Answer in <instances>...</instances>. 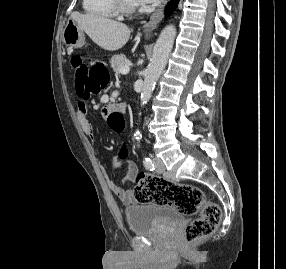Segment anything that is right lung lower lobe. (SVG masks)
Instances as JSON below:
<instances>
[{
  "label": "right lung lower lobe",
  "mask_w": 286,
  "mask_h": 269,
  "mask_svg": "<svg viewBox=\"0 0 286 269\" xmlns=\"http://www.w3.org/2000/svg\"><path fill=\"white\" fill-rule=\"evenodd\" d=\"M178 1H179V0H171V1H170L169 5H167V7H166V14H167V15L171 14V13L174 11V9L176 8V5H177Z\"/></svg>",
  "instance_id": "obj_1"
}]
</instances>
